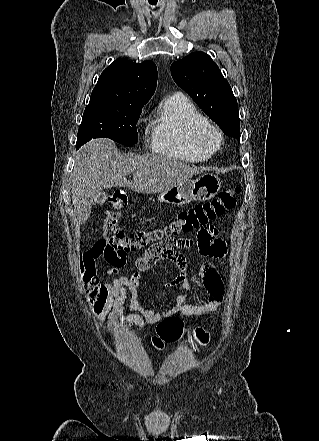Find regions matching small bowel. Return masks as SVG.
Instances as JSON below:
<instances>
[{
    "mask_svg": "<svg viewBox=\"0 0 319 441\" xmlns=\"http://www.w3.org/2000/svg\"><path fill=\"white\" fill-rule=\"evenodd\" d=\"M196 245L201 255L217 261H204L200 267V275L207 293L204 304H190L188 294L192 290L190 280L186 275L187 263L180 249H187ZM103 253L99 243L81 255V266L93 264L94 260ZM227 253L225 242L218 237V230L213 225L204 229L202 236L193 239H174L156 245L147 250L136 260L137 271L129 275H118L122 265H113L107 269L105 275L110 280L101 283L95 271L92 285L88 286L87 301L98 320L99 327L108 319L112 335L116 332L119 319L123 315V306L129 299L130 313L125 321L130 328H143L145 324H156L175 314L184 316H201L212 314L221 306L225 296V286L217 270V265H223V257ZM172 262L178 269L177 276L167 283V286L179 287L174 304L168 309L156 312L145 307L140 297V281L142 273L151 269L160 261Z\"/></svg>",
    "mask_w": 319,
    "mask_h": 441,
    "instance_id": "c3829d8e",
    "label": "small bowel"
}]
</instances>
